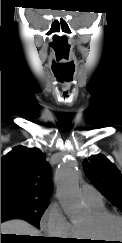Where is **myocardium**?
Returning <instances> with one entry per match:
<instances>
[{"label": "myocardium", "mask_w": 122, "mask_h": 243, "mask_svg": "<svg viewBox=\"0 0 122 243\" xmlns=\"http://www.w3.org/2000/svg\"><path fill=\"white\" fill-rule=\"evenodd\" d=\"M114 218L122 222V215L113 212H102L98 214H92L88 225L81 227L82 233L86 239L97 240L101 238L98 235L101 226L109 219Z\"/></svg>", "instance_id": "obj_1"}]
</instances>
